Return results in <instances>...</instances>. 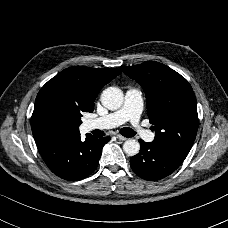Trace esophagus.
<instances>
[{
    "instance_id": "esophagus-1",
    "label": "esophagus",
    "mask_w": 228,
    "mask_h": 228,
    "mask_svg": "<svg viewBox=\"0 0 228 228\" xmlns=\"http://www.w3.org/2000/svg\"><path fill=\"white\" fill-rule=\"evenodd\" d=\"M117 139H119L120 141H125V140H127L126 137H124V136H122V135H120V134L117 135Z\"/></svg>"
}]
</instances>
